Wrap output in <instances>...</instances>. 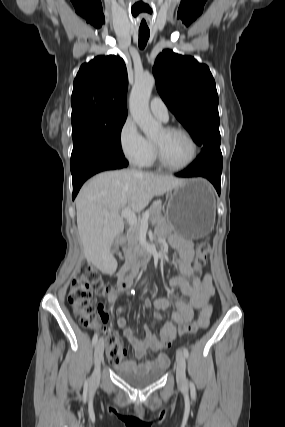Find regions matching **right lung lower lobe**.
Returning a JSON list of instances; mask_svg holds the SVG:
<instances>
[{
  "label": "right lung lower lobe",
  "mask_w": 285,
  "mask_h": 427,
  "mask_svg": "<svg viewBox=\"0 0 285 427\" xmlns=\"http://www.w3.org/2000/svg\"><path fill=\"white\" fill-rule=\"evenodd\" d=\"M128 161L125 157H117L102 152H94L84 157L73 169V199L77 195L82 184L94 174L126 167Z\"/></svg>",
  "instance_id": "right-lung-lower-lobe-1"
}]
</instances>
